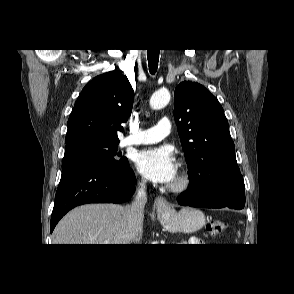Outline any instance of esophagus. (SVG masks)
<instances>
[{"label": "esophagus", "mask_w": 294, "mask_h": 294, "mask_svg": "<svg viewBox=\"0 0 294 294\" xmlns=\"http://www.w3.org/2000/svg\"><path fill=\"white\" fill-rule=\"evenodd\" d=\"M156 211L158 214L171 213L173 206L162 196L156 198Z\"/></svg>", "instance_id": "esophagus-1"}]
</instances>
